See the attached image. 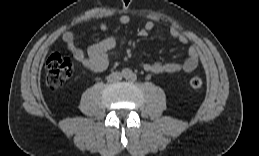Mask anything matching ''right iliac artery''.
Here are the masks:
<instances>
[{"mask_svg":"<svg viewBox=\"0 0 259 156\" xmlns=\"http://www.w3.org/2000/svg\"><path fill=\"white\" fill-rule=\"evenodd\" d=\"M122 75H123L124 77H129L130 71H129L128 69H124V70H122Z\"/></svg>","mask_w":259,"mask_h":156,"instance_id":"1","label":"right iliac artery"}]
</instances>
